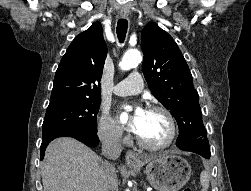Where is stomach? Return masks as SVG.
<instances>
[{
  "label": "stomach",
  "mask_w": 251,
  "mask_h": 191,
  "mask_svg": "<svg viewBox=\"0 0 251 191\" xmlns=\"http://www.w3.org/2000/svg\"><path fill=\"white\" fill-rule=\"evenodd\" d=\"M146 157L141 159L140 165H132L133 171H141ZM146 177L158 191H178L191 175V165L188 161L175 155V153H158L153 155L151 161H147L145 167Z\"/></svg>",
  "instance_id": "1"
}]
</instances>
